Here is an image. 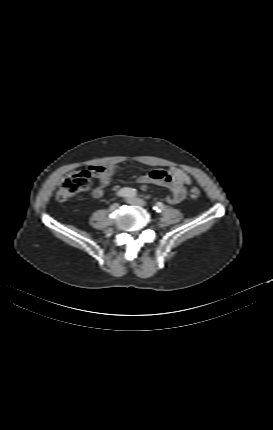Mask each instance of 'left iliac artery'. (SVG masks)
Returning a JSON list of instances; mask_svg holds the SVG:
<instances>
[{
    "mask_svg": "<svg viewBox=\"0 0 273 430\" xmlns=\"http://www.w3.org/2000/svg\"><path fill=\"white\" fill-rule=\"evenodd\" d=\"M153 209H154L156 212L161 213V212L165 209V205H164L163 203H161V202H157V203L155 204V206L153 207Z\"/></svg>",
    "mask_w": 273,
    "mask_h": 430,
    "instance_id": "obj_1",
    "label": "left iliac artery"
}]
</instances>
